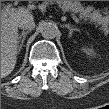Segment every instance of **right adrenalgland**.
I'll return each instance as SVG.
<instances>
[{
	"mask_svg": "<svg viewBox=\"0 0 109 109\" xmlns=\"http://www.w3.org/2000/svg\"><path fill=\"white\" fill-rule=\"evenodd\" d=\"M30 31H22V33L18 36V40H17V48L18 51L20 52L22 47H23V43L25 41L26 35L29 33ZM20 43V44H19Z\"/></svg>",
	"mask_w": 109,
	"mask_h": 109,
	"instance_id": "2a0ac1e0",
	"label": "right adrenal gland"
}]
</instances>
